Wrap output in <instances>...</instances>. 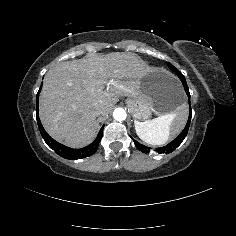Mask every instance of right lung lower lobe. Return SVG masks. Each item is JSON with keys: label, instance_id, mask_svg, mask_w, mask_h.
Here are the masks:
<instances>
[{"label": "right lung lower lobe", "instance_id": "right-lung-lower-lobe-1", "mask_svg": "<svg viewBox=\"0 0 236 236\" xmlns=\"http://www.w3.org/2000/svg\"><path fill=\"white\" fill-rule=\"evenodd\" d=\"M42 87V85H41ZM41 87L39 89V92L37 94V109H36V119H37V123H38V127L40 130V133L44 139V141L46 142V144L52 148L58 155H60L61 157L65 158V159H69V160H76V159H82L88 156H91L98 148L99 142L101 141L102 138V134H103V128L104 126H102V128L100 129L96 139L88 146L81 148V149H73L67 146H64L60 143H58L57 141H55L54 139H52L47 132L44 130L40 119H39V114H38V96L41 90Z\"/></svg>", "mask_w": 236, "mask_h": 236}]
</instances>
